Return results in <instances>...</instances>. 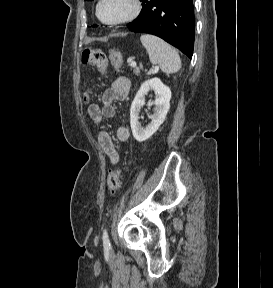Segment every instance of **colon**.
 Instances as JSON below:
<instances>
[{
	"label": "colon",
	"mask_w": 273,
	"mask_h": 288,
	"mask_svg": "<svg viewBox=\"0 0 273 288\" xmlns=\"http://www.w3.org/2000/svg\"><path fill=\"white\" fill-rule=\"evenodd\" d=\"M110 62L114 67H120L123 61L121 53L112 48L109 51ZM82 62L94 66L99 72H103L107 65V57L99 49L87 48L82 53ZM121 186V170L111 171L107 177V188L111 194L116 193Z\"/></svg>",
	"instance_id": "colon-1"
}]
</instances>
